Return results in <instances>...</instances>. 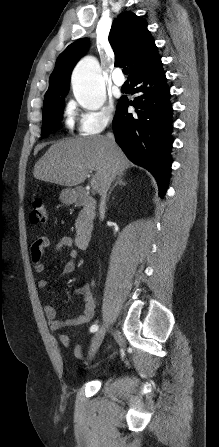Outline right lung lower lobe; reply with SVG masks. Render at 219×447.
<instances>
[{"label": "right lung lower lobe", "mask_w": 219, "mask_h": 447, "mask_svg": "<svg viewBox=\"0 0 219 447\" xmlns=\"http://www.w3.org/2000/svg\"><path fill=\"white\" fill-rule=\"evenodd\" d=\"M130 85L140 95L130 102L120 98L113 119L115 140L132 162L153 174L163 197L172 163L173 109L161 59L136 74ZM129 105L136 113H128Z\"/></svg>", "instance_id": "obj_1"}]
</instances>
